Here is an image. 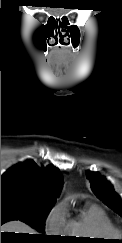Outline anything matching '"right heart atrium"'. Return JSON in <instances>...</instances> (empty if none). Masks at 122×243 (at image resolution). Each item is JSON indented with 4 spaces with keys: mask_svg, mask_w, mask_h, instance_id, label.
Instances as JSON below:
<instances>
[{
    "mask_svg": "<svg viewBox=\"0 0 122 243\" xmlns=\"http://www.w3.org/2000/svg\"><path fill=\"white\" fill-rule=\"evenodd\" d=\"M46 230L52 234H62L66 230L67 219L62 204L56 205L46 218Z\"/></svg>",
    "mask_w": 122,
    "mask_h": 243,
    "instance_id": "obj_1",
    "label": "right heart atrium"
}]
</instances>
